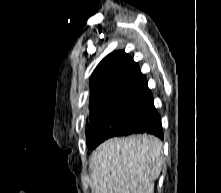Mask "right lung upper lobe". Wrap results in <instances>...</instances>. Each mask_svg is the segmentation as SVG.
I'll list each match as a JSON object with an SVG mask.
<instances>
[{
  "label": "right lung upper lobe",
  "instance_id": "right-lung-upper-lobe-1",
  "mask_svg": "<svg viewBox=\"0 0 221 193\" xmlns=\"http://www.w3.org/2000/svg\"><path fill=\"white\" fill-rule=\"evenodd\" d=\"M153 101L147 80L138 65L123 51L106 56L90 78V115L110 104Z\"/></svg>",
  "mask_w": 221,
  "mask_h": 193
}]
</instances>
